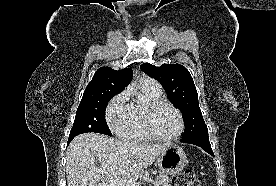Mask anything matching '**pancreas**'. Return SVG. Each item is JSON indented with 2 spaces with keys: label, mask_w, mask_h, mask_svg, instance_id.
Segmentation results:
<instances>
[{
  "label": "pancreas",
  "mask_w": 276,
  "mask_h": 186,
  "mask_svg": "<svg viewBox=\"0 0 276 186\" xmlns=\"http://www.w3.org/2000/svg\"><path fill=\"white\" fill-rule=\"evenodd\" d=\"M154 186H170V179L168 175L159 173L155 179Z\"/></svg>",
  "instance_id": "cf45deb5"
}]
</instances>
